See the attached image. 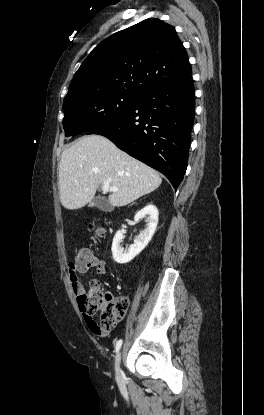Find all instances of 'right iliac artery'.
<instances>
[{"label": "right iliac artery", "instance_id": "82829eb1", "mask_svg": "<svg viewBox=\"0 0 264 415\" xmlns=\"http://www.w3.org/2000/svg\"><path fill=\"white\" fill-rule=\"evenodd\" d=\"M122 346V339L118 340L115 347V352L118 353L119 349Z\"/></svg>", "mask_w": 264, "mask_h": 415}]
</instances>
